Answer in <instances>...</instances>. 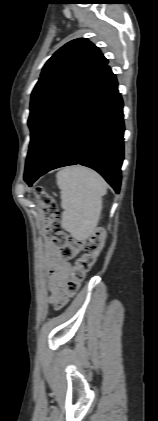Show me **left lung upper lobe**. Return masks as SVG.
Wrapping results in <instances>:
<instances>
[{
	"instance_id": "5c2ea615",
	"label": "left lung upper lobe",
	"mask_w": 158,
	"mask_h": 421,
	"mask_svg": "<svg viewBox=\"0 0 158 421\" xmlns=\"http://www.w3.org/2000/svg\"><path fill=\"white\" fill-rule=\"evenodd\" d=\"M107 63L99 48L85 38L68 42L46 62L31 95L28 120L31 141L26 166L54 118Z\"/></svg>"
}]
</instances>
